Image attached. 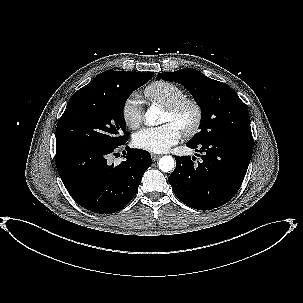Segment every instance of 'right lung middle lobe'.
I'll use <instances>...</instances> for the list:
<instances>
[{
  "mask_svg": "<svg viewBox=\"0 0 303 303\" xmlns=\"http://www.w3.org/2000/svg\"><path fill=\"white\" fill-rule=\"evenodd\" d=\"M152 73H138L118 82L84 86L71 97L56 129V148L70 145L117 146L128 140L123 108L127 98Z\"/></svg>",
  "mask_w": 303,
  "mask_h": 303,
  "instance_id": "1",
  "label": "right lung middle lobe"
}]
</instances>
